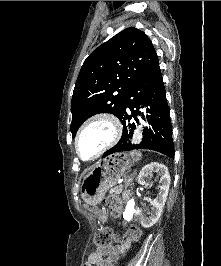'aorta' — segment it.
<instances>
[{"mask_svg":"<svg viewBox=\"0 0 221 266\" xmlns=\"http://www.w3.org/2000/svg\"><path fill=\"white\" fill-rule=\"evenodd\" d=\"M134 205H135V203H134L133 199H131L127 202L126 210L124 213V217L126 219H130L132 217V215L134 213Z\"/></svg>","mask_w":221,"mask_h":266,"instance_id":"762f6f07","label":"aorta"}]
</instances>
